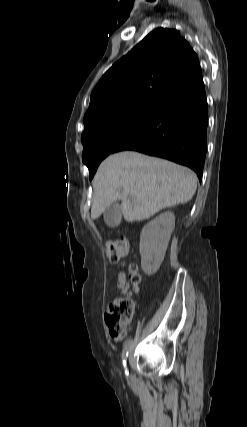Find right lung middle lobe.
<instances>
[{
	"label": "right lung middle lobe",
	"mask_w": 247,
	"mask_h": 427,
	"mask_svg": "<svg viewBox=\"0 0 247 427\" xmlns=\"http://www.w3.org/2000/svg\"><path fill=\"white\" fill-rule=\"evenodd\" d=\"M157 106H134L99 119L85 128L82 134L84 147L82 160L93 178L100 162L152 117Z\"/></svg>",
	"instance_id": "1"
}]
</instances>
